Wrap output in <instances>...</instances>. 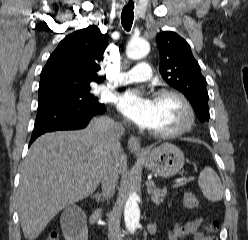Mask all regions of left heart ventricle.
<instances>
[{
    "instance_id": "b2bd125f",
    "label": "left heart ventricle",
    "mask_w": 248,
    "mask_h": 240,
    "mask_svg": "<svg viewBox=\"0 0 248 240\" xmlns=\"http://www.w3.org/2000/svg\"><path fill=\"white\" fill-rule=\"evenodd\" d=\"M156 121L152 130H170L178 127L185 118L182 104L172 96L156 97Z\"/></svg>"
}]
</instances>
